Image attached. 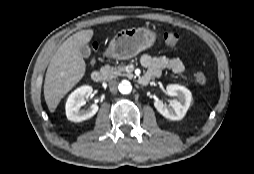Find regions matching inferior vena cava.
Here are the masks:
<instances>
[{
    "label": "inferior vena cava",
    "mask_w": 254,
    "mask_h": 174,
    "mask_svg": "<svg viewBox=\"0 0 254 174\" xmlns=\"http://www.w3.org/2000/svg\"><path fill=\"white\" fill-rule=\"evenodd\" d=\"M118 88V82L115 80H112L109 82V89L112 93H116Z\"/></svg>",
    "instance_id": "602c4592"
}]
</instances>
